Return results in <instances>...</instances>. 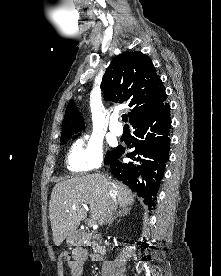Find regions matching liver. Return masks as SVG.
Masks as SVG:
<instances>
[{
    "label": "liver",
    "mask_w": 221,
    "mask_h": 276,
    "mask_svg": "<svg viewBox=\"0 0 221 276\" xmlns=\"http://www.w3.org/2000/svg\"><path fill=\"white\" fill-rule=\"evenodd\" d=\"M114 196L117 205L122 207L134 203L131 190L119 181H112L105 175L95 173L61 181L55 185L49 203V217L56 246L76 232L87 212L83 206L90 205L91 221H99Z\"/></svg>",
    "instance_id": "1"
}]
</instances>
